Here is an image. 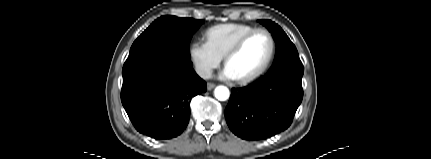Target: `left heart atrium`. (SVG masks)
I'll use <instances>...</instances> for the list:
<instances>
[{
  "label": "left heart atrium",
  "instance_id": "1",
  "mask_svg": "<svg viewBox=\"0 0 431 159\" xmlns=\"http://www.w3.org/2000/svg\"><path fill=\"white\" fill-rule=\"evenodd\" d=\"M221 77L223 79H230V80L236 79L234 74L231 72V70L227 66L223 69V71L221 73Z\"/></svg>",
  "mask_w": 431,
  "mask_h": 159
}]
</instances>
